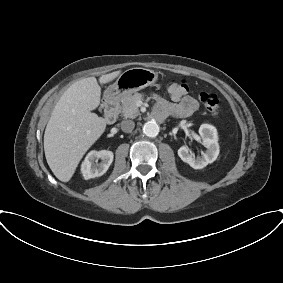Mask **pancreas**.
<instances>
[{"mask_svg":"<svg viewBox=\"0 0 283 283\" xmlns=\"http://www.w3.org/2000/svg\"><path fill=\"white\" fill-rule=\"evenodd\" d=\"M143 97L141 93L128 94L121 99V105H117L116 108L125 118H136L140 115L136 103L139 100H143ZM153 98L156 100L160 99L156 94L153 95Z\"/></svg>","mask_w":283,"mask_h":283,"instance_id":"obj_1","label":"pancreas"}]
</instances>
